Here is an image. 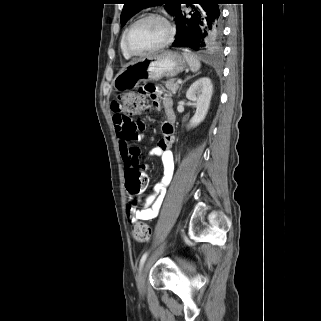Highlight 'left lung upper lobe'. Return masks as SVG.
<instances>
[{"instance_id": "5c2ea615", "label": "left lung upper lobe", "mask_w": 321, "mask_h": 321, "mask_svg": "<svg viewBox=\"0 0 321 321\" xmlns=\"http://www.w3.org/2000/svg\"><path fill=\"white\" fill-rule=\"evenodd\" d=\"M184 0H124V7L121 13V24L125 23L138 11L153 5L165 4V9L173 16L176 15L180 4Z\"/></svg>"}]
</instances>
